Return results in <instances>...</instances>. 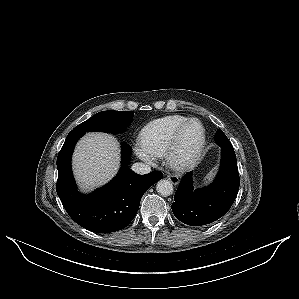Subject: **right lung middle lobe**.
<instances>
[{
	"instance_id": "1",
	"label": "right lung middle lobe",
	"mask_w": 299,
	"mask_h": 299,
	"mask_svg": "<svg viewBox=\"0 0 299 299\" xmlns=\"http://www.w3.org/2000/svg\"><path fill=\"white\" fill-rule=\"evenodd\" d=\"M134 112L132 111H102L85 122L76 126L73 132H107V133H119L126 129L133 120Z\"/></svg>"
}]
</instances>
